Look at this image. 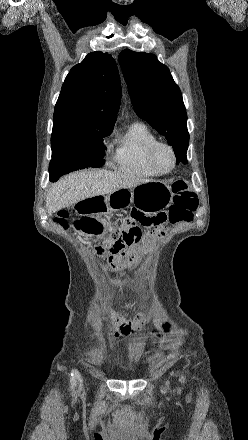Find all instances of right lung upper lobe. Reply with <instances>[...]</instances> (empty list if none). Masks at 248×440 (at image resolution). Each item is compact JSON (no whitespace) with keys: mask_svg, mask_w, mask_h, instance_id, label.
Returning a JSON list of instances; mask_svg holds the SVG:
<instances>
[{"mask_svg":"<svg viewBox=\"0 0 248 440\" xmlns=\"http://www.w3.org/2000/svg\"><path fill=\"white\" fill-rule=\"evenodd\" d=\"M121 95L115 60L92 52L72 67L55 105L51 146L113 130Z\"/></svg>","mask_w":248,"mask_h":440,"instance_id":"right-lung-upper-lobe-1","label":"right lung upper lobe"}]
</instances>
